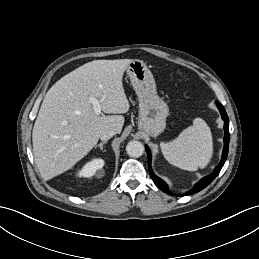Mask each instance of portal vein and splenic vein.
Segmentation results:
<instances>
[{
  "mask_svg": "<svg viewBox=\"0 0 259 259\" xmlns=\"http://www.w3.org/2000/svg\"><path fill=\"white\" fill-rule=\"evenodd\" d=\"M89 102L92 103L95 114H101V102L95 97H90Z\"/></svg>",
  "mask_w": 259,
  "mask_h": 259,
  "instance_id": "obj_1",
  "label": "portal vein and splenic vein"
}]
</instances>
